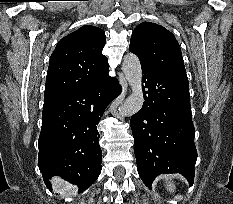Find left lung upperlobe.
Instances as JSON below:
<instances>
[{
    "label": "left lung upper lobe",
    "instance_id": "left-lung-upper-lobe-1",
    "mask_svg": "<svg viewBox=\"0 0 233 204\" xmlns=\"http://www.w3.org/2000/svg\"><path fill=\"white\" fill-rule=\"evenodd\" d=\"M129 50L138 56L141 65L187 79L180 46L161 25L139 24L132 33Z\"/></svg>",
    "mask_w": 233,
    "mask_h": 204
}]
</instances>
